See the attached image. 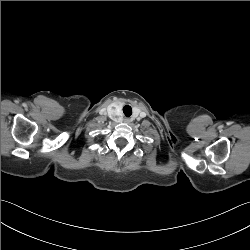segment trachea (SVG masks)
Here are the masks:
<instances>
[{"label":"trachea","instance_id":"obj_1","mask_svg":"<svg viewBox=\"0 0 250 250\" xmlns=\"http://www.w3.org/2000/svg\"><path fill=\"white\" fill-rule=\"evenodd\" d=\"M123 112H124L125 116L129 117L132 114V108L129 105H125L123 107Z\"/></svg>","mask_w":250,"mask_h":250}]
</instances>
